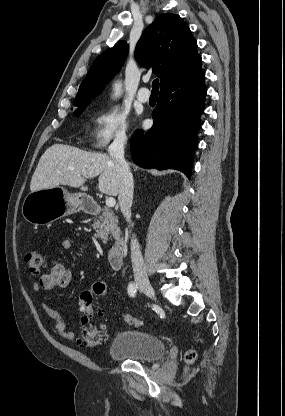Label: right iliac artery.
<instances>
[{
    "instance_id": "right-iliac-artery-1",
    "label": "right iliac artery",
    "mask_w": 285,
    "mask_h": 416,
    "mask_svg": "<svg viewBox=\"0 0 285 416\" xmlns=\"http://www.w3.org/2000/svg\"><path fill=\"white\" fill-rule=\"evenodd\" d=\"M137 284H135L134 282H131L129 285H128V294L131 296V297H135L136 296V292H137Z\"/></svg>"
}]
</instances>
